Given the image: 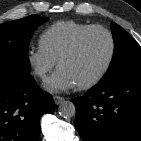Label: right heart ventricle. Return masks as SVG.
<instances>
[{"label":"right heart ventricle","mask_w":141,"mask_h":141,"mask_svg":"<svg viewBox=\"0 0 141 141\" xmlns=\"http://www.w3.org/2000/svg\"><path fill=\"white\" fill-rule=\"evenodd\" d=\"M90 26L73 20L56 22L41 34L39 45L57 61L74 38Z\"/></svg>","instance_id":"obj_1"}]
</instances>
